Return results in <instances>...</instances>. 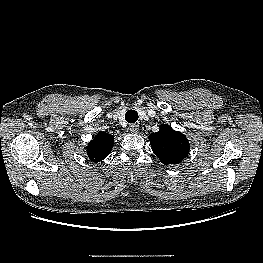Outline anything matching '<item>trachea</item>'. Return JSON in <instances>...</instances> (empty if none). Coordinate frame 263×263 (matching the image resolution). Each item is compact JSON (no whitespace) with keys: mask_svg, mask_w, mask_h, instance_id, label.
I'll use <instances>...</instances> for the list:
<instances>
[{"mask_svg":"<svg viewBox=\"0 0 263 263\" xmlns=\"http://www.w3.org/2000/svg\"><path fill=\"white\" fill-rule=\"evenodd\" d=\"M125 120L128 123H135L138 120V113L134 110H128L125 114Z\"/></svg>","mask_w":263,"mask_h":263,"instance_id":"3493384b","label":"trachea"}]
</instances>
